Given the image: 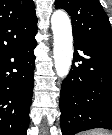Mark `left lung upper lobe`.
Instances as JSON below:
<instances>
[{
  "mask_svg": "<svg viewBox=\"0 0 112 135\" xmlns=\"http://www.w3.org/2000/svg\"><path fill=\"white\" fill-rule=\"evenodd\" d=\"M55 8L70 15L74 39L112 45L109 18L98 0H55Z\"/></svg>",
  "mask_w": 112,
  "mask_h": 135,
  "instance_id": "obj_1",
  "label": "left lung upper lobe"
}]
</instances>
